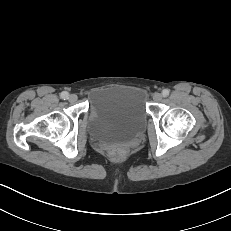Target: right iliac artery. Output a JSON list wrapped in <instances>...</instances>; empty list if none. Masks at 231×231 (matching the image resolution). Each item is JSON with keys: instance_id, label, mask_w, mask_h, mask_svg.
<instances>
[{"instance_id": "right-iliac-artery-1", "label": "right iliac artery", "mask_w": 231, "mask_h": 231, "mask_svg": "<svg viewBox=\"0 0 231 231\" xmlns=\"http://www.w3.org/2000/svg\"><path fill=\"white\" fill-rule=\"evenodd\" d=\"M60 97H61L62 99H64V100H66V99H68L69 94H68V92L63 91V92L60 94Z\"/></svg>"}]
</instances>
